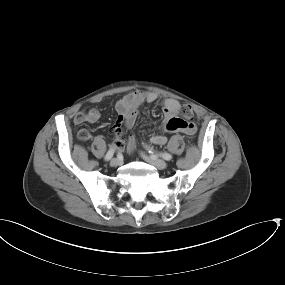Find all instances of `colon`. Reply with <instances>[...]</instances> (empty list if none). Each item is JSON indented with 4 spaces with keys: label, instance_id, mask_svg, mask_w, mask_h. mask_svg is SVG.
<instances>
[{
    "label": "colon",
    "instance_id": "5ec220e1",
    "mask_svg": "<svg viewBox=\"0 0 285 285\" xmlns=\"http://www.w3.org/2000/svg\"><path fill=\"white\" fill-rule=\"evenodd\" d=\"M181 114L183 118L185 119L184 121H187L192 118L194 114V110L191 105L185 104L181 107ZM185 129L189 134H192L194 132L193 124L188 125Z\"/></svg>",
    "mask_w": 285,
    "mask_h": 285
}]
</instances>
